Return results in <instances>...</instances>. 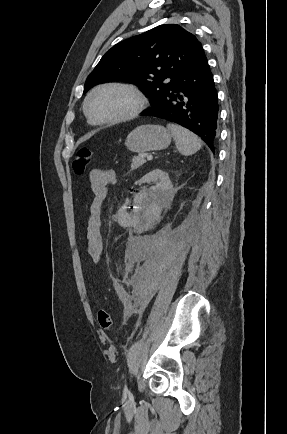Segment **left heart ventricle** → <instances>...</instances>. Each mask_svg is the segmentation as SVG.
I'll list each match as a JSON object with an SVG mask.
<instances>
[{
    "mask_svg": "<svg viewBox=\"0 0 287 434\" xmlns=\"http://www.w3.org/2000/svg\"><path fill=\"white\" fill-rule=\"evenodd\" d=\"M135 104L133 96L124 89L109 87L95 93L89 111L96 119H110L128 113Z\"/></svg>",
    "mask_w": 287,
    "mask_h": 434,
    "instance_id": "left-heart-ventricle-1",
    "label": "left heart ventricle"
}]
</instances>
